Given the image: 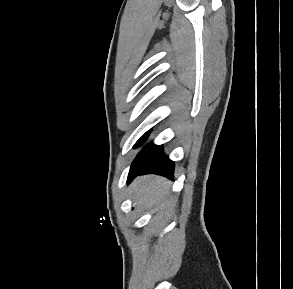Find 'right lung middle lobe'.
<instances>
[{
  "label": "right lung middle lobe",
  "mask_w": 293,
  "mask_h": 289,
  "mask_svg": "<svg viewBox=\"0 0 293 289\" xmlns=\"http://www.w3.org/2000/svg\"><path fill=\"white\" fill-rule=\"evenodd\" d=\"M148 133H149V132L145 133V134H144V135H143V136L137 141L136 145L139 144L140 142H142V141L147 137ZM136 145H135V146H136Z\"/></svg>",
  "instance_id": "1"
}]
</instances>
